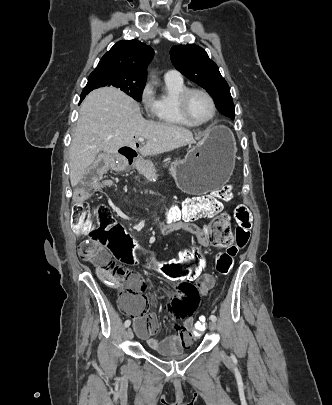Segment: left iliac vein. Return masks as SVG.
<instances>
[{"mask_svg":"<svg viewBox=\"0 0 332 405\" xmlns=\"http://www.w3.org/2000/svg\"><path fill=\"white\" fill-rule=\"evenodd\" d=\"M209 328H210L211 331H215L216 328H217L216 323L214 321H210L209 322Z\"/></svg>","mask_w":332,"mask_h":405,"instance_id":"4c4485c4","label":"left iliac vein"}]
</instances>
